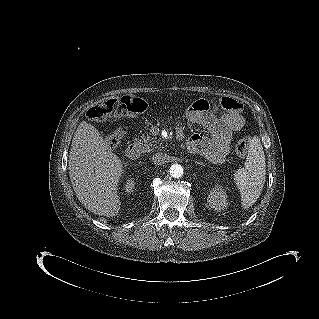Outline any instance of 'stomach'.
<instances>
[{
    "mask_svg": "<svg viewBox=\"0 0 319 319\" xmlns=\"http://www.w3.org/2000/svg\"><path fill=\"white\" fill-rule=\"evenodd\" d=\"M205 111L203 108H200V105L198 102H193L186 110V116L187 118L192 122H197L200 120L202 114Z\"/></svg>",
    "mask_w": 319,
    "mask_h": 319,
    "instance_id": "stomach-1",
    "label": "stomach"
}]
</instances>
